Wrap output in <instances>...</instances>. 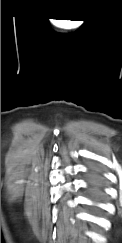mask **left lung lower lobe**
<instances>
[{"instance_id": "left-lung-lower-lobe-1", "label": "left lung lower lobe", "mask_w": 122, "mask_h": 243, "mask_svg": "<svg viewBox=\"0 0 122 243\" xmlns=\"http://www.w3.org/2000/svg\"><path fill=\"white\" fill-rule=\"evenodd\" d=\"M88 186L89 191L94 199L98 200L102 197L103 181L99 170L95 168L90 169Z\"/></svg>"}]
</instances>
